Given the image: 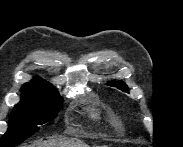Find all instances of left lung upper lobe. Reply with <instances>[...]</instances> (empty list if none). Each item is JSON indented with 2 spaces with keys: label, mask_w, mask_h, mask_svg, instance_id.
<instances>
[{
  "label": "left lung upper lobe",
  "mask_w": 183,
  "mask_h": 147,
  "mask_svg": "<svg viewBox=\"0 0 183 147\" xmlns=\"http://www.w3.org/2000/svg\"><path fill=\"white\" fill-rule=\"evenodd\" d=\"M109 86L112 87H116L120 90H122L123 92H128V87L125 83L121 82V81H111L109 83H107Z\"/></svg>",
  "instance_id": "1"
}]
</instances>
